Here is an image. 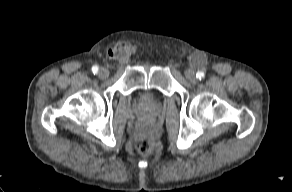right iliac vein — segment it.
<instances>
[{
  "label": "right iliac vein",
  "instance_id": "right-iliac-vein-1",
  "mask_svg": "<svg viewBox=\"0 0 292 192\" xmlns=\"http://www.w3.org/2000/svg\"><path fill=\"white\" fill-rule=\"evenodd\" d=\"M108 76H109V71L107 69H105V68L100 69V71H99V77L101 79H105Z\"/></svg>",
  "mask_w": 292,
  "mask_h": 192
}]
</instances>
